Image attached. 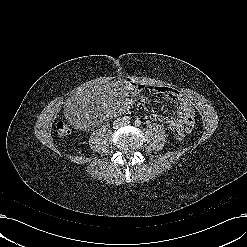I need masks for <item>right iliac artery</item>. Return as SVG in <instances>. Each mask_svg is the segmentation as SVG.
<instances>
[{
  "instance_id": "1",
  "label": "right iliac artery",
  "mask_w": 247,
  "mask_h": 247,
  "mask_svg": "<svg viewBox=\"0 0 247 247\" xmlns=\"http://www.w3.org/2000/svg\"><path fill=\"white\" fill-rule=\"evenodd\" d=\"M129 119V117H124V120H128Z\"/></svg>"
}]
</instances>
